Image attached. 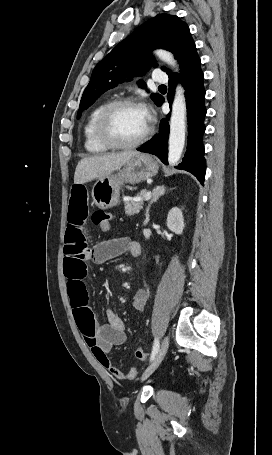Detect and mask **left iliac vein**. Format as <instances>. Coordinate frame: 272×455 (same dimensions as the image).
I'll list each match as a JSON object with an SVG mask.
<instances>
[{
    "instance_id": "1",
    "label": "left iliac vein",
    "mask_w": 272,
    "mask_h": 455,
    "mask_svg": "<svg viewBox=\"0 0 272 455\" xmlns=\"http://www.w3.org/2000/svg\"><path fill=\"white\" fill-rule=\"evenodd\" d=\"M168 346H169V339H168V337H165L162 341L161 347H160L157 355L155 356L154 360L143 373V375L141 377V381L146 380L158 368V366L160 365V363L162 362V360L164 359V357L167 353Z\"/></svg>"
}]
</instances>
